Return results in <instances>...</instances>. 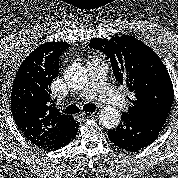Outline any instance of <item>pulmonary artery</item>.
I'll use <instances>...</instances> for the list:
<instances>
[{
	"label": "pulmonary artery",
	"instance_id": "obj_1",
	"mask_svg": "<svg viewBox=\"0 0 178 178\" xmlns=\"http://www.w3.org/2000/svg\"><path fill=\"white\" fill-rule=\"evenodd\" d=\"M107 63L101 58H93L88 63L89 78L86 86L79 92L81 100L99 99L117 108L125 107L123 95L107 80Z\"/></svg>",
	"mask_w": 178,
	"mask_h": 178
}]
</instances>
